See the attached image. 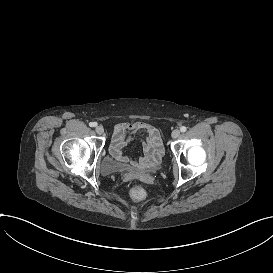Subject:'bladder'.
<instances>
[{
	"mask_svg": "<svg viewBox=\"0 0 273 273\" xmlns=\"http://www.w3.org/2000/svg\"><path fill=\"white\" fill-rule=\"evenodd\" d=\"M101 169L105 175H114L127 171L128 167L124 163L117 161L110 156H107L101 164Z\"/></svg>",
	"mask_w": 273,
	"mask_h": 273,
	"instance_id": "bladder-1",
	"label": "bladder"
}]
</instances>
